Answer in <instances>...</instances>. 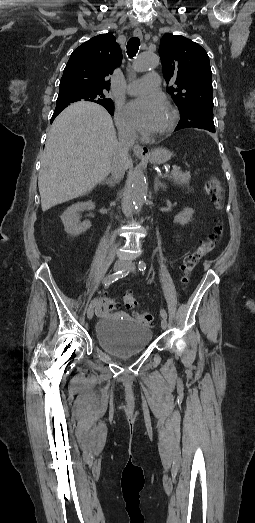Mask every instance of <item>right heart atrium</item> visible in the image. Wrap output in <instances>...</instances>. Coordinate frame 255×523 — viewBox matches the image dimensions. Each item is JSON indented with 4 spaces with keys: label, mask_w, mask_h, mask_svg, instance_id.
I'll return each mask as SVG.
<instances>
[{
    "label": "right heart atrium",
    "mask_w": 255,
    "mask_h": 523,
    "mask_svg": "<svg viewBox=\"0 0 255 523\" xmlns=\"http://www.w3.org/2000/svg\"><path fill=\"white\" fill-rule=\"evenodd\" d=\"M115 122L120 133L127 138H133L135 136V130L129 121L126 119L122 107L117 106L115 111Z\"/></svg>",
    "instance_id": "obj_1"
}]
</instances>
